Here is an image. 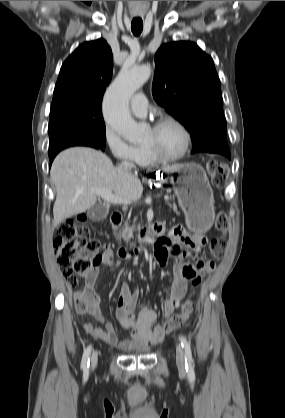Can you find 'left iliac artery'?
<instances>
[{
  "instance_id": "44dca946",
  "label": "left iliac artery",
  "mask_w": 285,
  "mask_h": 418,
  "mask_svg": "<svg viewBox=\"0 0 285 418\" xmlns=\"http://www.w3.org/2000/svg\"><path fill=\"white\" fill-rule=\"evenodd\" d=\"M181 346L185 352V368L188 373V376L191 379H195V373L193 368V359H192V352L190 343L182 336L179 337Z\"/></svg>"
}]
</instances>
